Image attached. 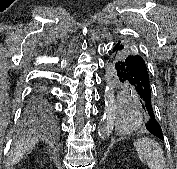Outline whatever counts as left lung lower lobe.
I'll return each instance as SVG.
<instances>
[{
	"instance_id": "obj_1",
	"label": "left lung lower lobe",
	"mask_w": 177,
	"mask_h": 169,
	"mask_svg": "<svg viewBox=\"0 0 177 169\" xmlns=\"http://www.w3.org/2000/svg\"><path fill=\"white\" fill-rule=\"evenodd\" d=\"M121 49L119 42L113 47L108 61L113 78L121 91L130 90L138 94L142 107L149 115L146 129L163 140L162 129L156 120L151 101L150 79L146 63L141 56L134 54L117 59Z\"/></svg>"
}]
</instances>
